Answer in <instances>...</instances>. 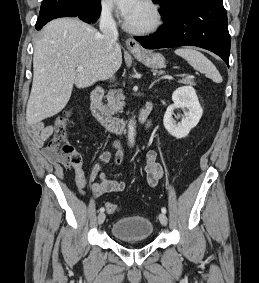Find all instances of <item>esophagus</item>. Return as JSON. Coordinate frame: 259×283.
Returning <instances> with one entry per match:
<instances>
[{
  "label": "esophagus",
  "instance_id": "esophagus-1",
  "mask_svg": "<svg viewBox=\"0 0 259 283\" xmlns=\"http://www.w3.org/2000/svg\"><path fill=\"white\" fill-rule=\"evenodd\" d=\"M126 46L132 53H140L142 51L141 45L134 38H127Z\"/></svg>",
  "mask_w": 259,
  "mask_h": 283
}]
</instances>
